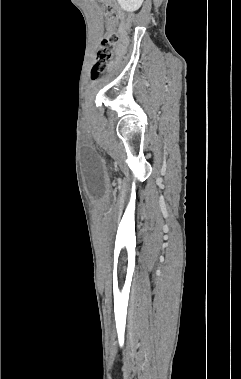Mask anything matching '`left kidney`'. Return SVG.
<instances>
[{
	"mask_svg": "<svg viewBox=\"0 0 241 379\" xmlns=\"http://www.w3.org/2000/svg\"><path fill=\"white\" fill-rule=\"evenodd\" d=\"M118 3L124 11L134 12L141 7L143 0H118Z\"/></svg>",
	"mask_w": 241,
	"mask_h": 379,
	"instance_id": "obj_1",
	"label": "left kidney"
}]
</instances>
